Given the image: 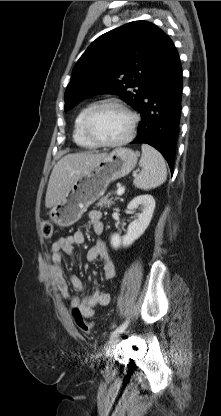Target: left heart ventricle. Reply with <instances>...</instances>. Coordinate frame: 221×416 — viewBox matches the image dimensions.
Returning a JSON list of instances; mask_svg holds the SVG:
<instances>
[{"label": "left heart ventricle", "instance_id": "1", "mask_svg": "<svg viewBox=\"0 0 221 416\" xmlns=\"http://www.w3.org/2000/svg\"><path fill=\"white\" fill-rule=\"evenodd\" d=\"M129 127V115L116 106L101 109L91 123L93 133L104 141H116L123 138L128 133Z\"/></svg>", "mask_w": 221, "mask_h": 416}]
</instances>
